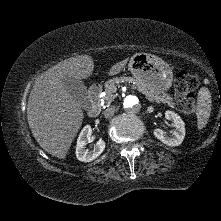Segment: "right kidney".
Returning a JSON list of instances; mask_svg holds the SVG:
<instances>
[{
    "instance_id": "ca27d5eb",
    "label": "right kidney",
    "mask_w": 221,
    "mask_h": 221,
    "mask_svg": "<svg viewBox=\"0 0 221 221\" xmlns=\"http://www.w3.org/2000/svg\"><path fill=\"white\" fill-rule=\"evenodd\" d=\"M92 129L90 125H86L81 130L77 139L76 157L79 161L90 162L96 159L105 149V142L103 140L97 141L93 150L86 149L87 140L91 137Z\"/></svg>"
}]
</instances>
